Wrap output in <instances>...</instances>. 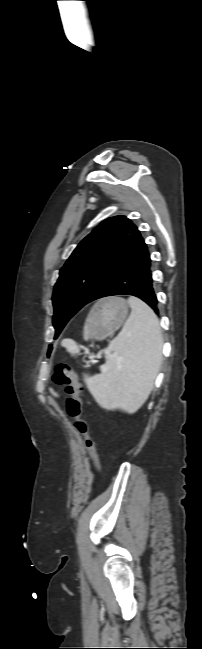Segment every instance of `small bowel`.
<instances>
[{
    "label": "small bowel",
    "instance_id": "small-bowel-1",
    "mask_svg": "<svg viewBox=\"0 0 202 649\" xmlns=\"http://www.w3.org/2000/svg\"><path fill=\"white\" fill-rule=\"evenodd\" d=\"M52 394H53V396H54L56 399H59V395L57 394V392L52 391Z\"/></svg>",
    "mask_w": 202,
    "mask_h": 649
}]
</instances>
